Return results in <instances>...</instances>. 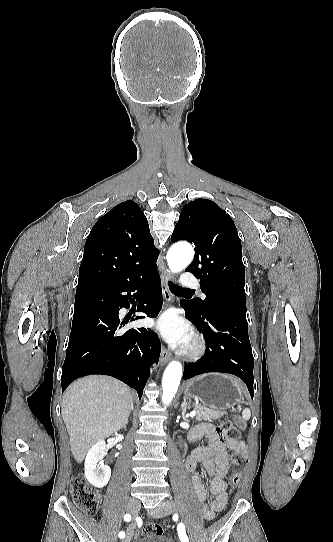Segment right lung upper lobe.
<instances>
[{
	"instance_id": "obj_1",
	"label": "right lung upper lobe",
	"mask_w": 333,
	"mask_h": 542,
	"mask_svg": "<svg viewBox=\"0 0 333 542\" xmlns=\"http://www.w3.org/2000/svg\"><path fill=\"white\" fill-rule=\"evenodd\" d=\"M107 249L116 254V264L96 269L80 267L78 287L107 284L119 285L131 280L133 265L127 261L131 254L158 257L147 219L133 201L122 202L101 217L93 226L85 243L86 249Z\"/></svg>"
}]
</instances>
